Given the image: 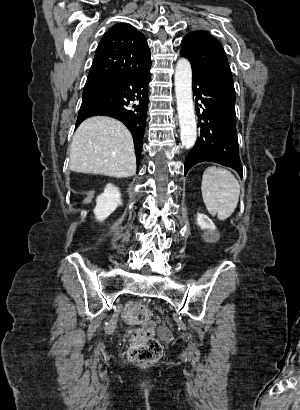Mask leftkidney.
I'll list each match as a JSON object with an SVG mask.
<instances>
[{
	"mask_svg": "<svg viewBox=\"0 0 300 410\" xmlns=\"http://www.w3.org/2000/svg\"><path fill=\"white\" fill-rule=\"evenodd\" d=\"M197 224L200 226L202 230H215L216 226L213 221L205 214H197Z\"/></svg>",
	"mask_w": 300,
	"mask_h": 410,
	"instance_id": "1",
	"label": "left kidney"
}]
</instances>
